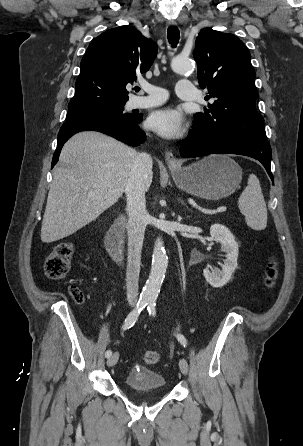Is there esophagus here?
Here are the masks:
<instances>
[{
    "instance_id": "34e87169",
    "label": "esophagus",
    "mask_w": 303,
    "mask_h": 446,
    "mask_svg": "<svg viewBox=\"0 0 303 446\" xmlns=\"http://www.w3.org/2000/svg\"><path fill=\"white\" fill-rule=\"evenodd\" d=\"M176 24L177 23L174 20L168 21V25L169 26H176ZM165 160H166V163H167V165L169 167H177V166H179V161H178V159L176 158V156L172 152H169V151L166 152Z\"/></svg>"
}]
</instances>
